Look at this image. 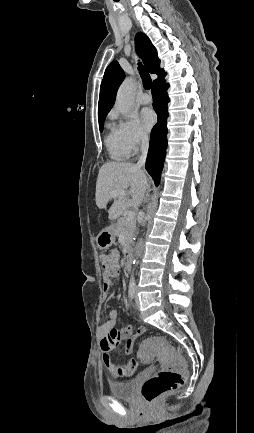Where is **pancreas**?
I'll list each match as a JSON object with an SVG mask.
<instances>
[{"instance_id": "cf45deb5", "label": "pancreas", "mask_w": 254, "mask_h": 433, "mask_svg": "<svg viewBox=\"0 0 254 433\" xmlns=\"http://www.w3.org/2000/svg\"><path fill=\"white\" fill-rule=\"evenodd\" d=\"M136 229V221L126 220V217L122 216L117 220L115 224V235L120 236L125 241L126 245L132 242V237Z\"/></svg>"}]
</instances>
